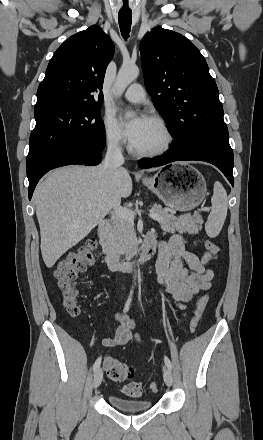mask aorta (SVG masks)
Instances as JSON below:
<instances>
[{
    "label": "aorta",
    "mask_w": 263,
    "mask_h": 440,
    "mask_svg": "<svg viewBox=\"0 0 263 440\" xmlns=\"http://www.w3.org/2000/svg\"><path fill=\"white\" fill-rule=\"evenodd\" d=\"M139 75V68L135 64H123L120 68L116 82L114 84V90L119 97L125 91L127 86L133 82ZM136 278V273L134 279Z\"/></svg>",
    "instance_id": "aorta-1"
}]
</instances>
